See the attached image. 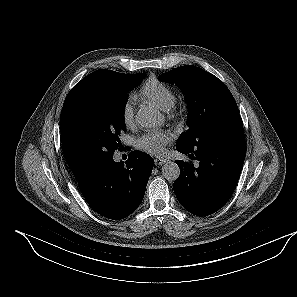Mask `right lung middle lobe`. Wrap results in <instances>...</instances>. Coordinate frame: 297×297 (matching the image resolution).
Returning a JSON list of instances; mask_svg holds the SVG:
<instances>
[{"instance_id":"dd1d6c3e","label":"right lung middle lobe","mask_w":297,"mask_h":297,"mask_svg":"<svg viewBox=\"0 0 297 297\" xmlns=\"http://www.w3.org/2000/svg\"><path fill=\"white\" fill-rule=\"evenodd\" d=\"M145 76L121 74L107 87L80 92L64 102L61 140L71 169L83 172L122 147L119 135L125 130L127 93Z\"/></svg>"}]
</instances>
